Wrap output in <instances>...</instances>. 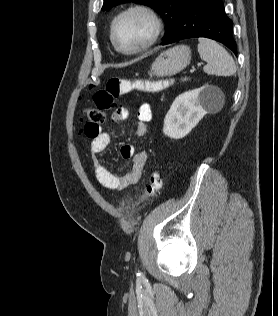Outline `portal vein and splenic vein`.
I'll list each match as a JSON object with an SVG mask.
<instances>
[{"instance_id":"obj_1","label":"portal vein and splenic vein","mask_w":278,"mask_h":316,"mask_svg":"<svg viewBox=\"0 0 278 316\" xmlns=\"http://www.w3.org/2000/svg\"><path fill=\"white\" fill-rule=\"evenodd\" d=\"M202 65V63H198L197 66L200 67Z\"/></svg>"}]
</instances>
